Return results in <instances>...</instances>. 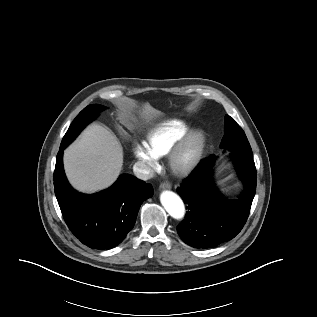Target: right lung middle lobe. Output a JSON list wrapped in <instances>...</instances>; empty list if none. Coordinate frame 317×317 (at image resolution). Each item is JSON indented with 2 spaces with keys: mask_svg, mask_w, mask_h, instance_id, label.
<instances>
[{
  "mask_svg": "<svg viewBox=\"0 0 317 317\" xmlns=\"http://www.w3.org/2000/svg\"><path fill=\"white\" fill-rule=\"evenodd\" d=\"M104 109L105 107L99 104L88 105L86 108H84L70 125L68 131L63 137L61 144L67 146L69 143H71L80 133V131L88 123L94 120L97 114Z\"/></svg>",
  "mask_w": 317,
  "mask_h": 317,
  "instance_id": "obj_1",
  "label": "right lung middle lobe"
}]
</instances>
